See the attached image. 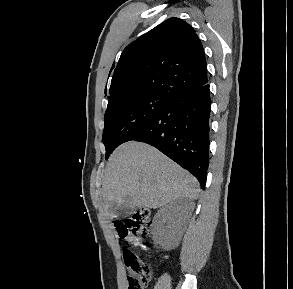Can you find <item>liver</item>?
Masks as SVG:
<instances>
[{
  "label": "liver",
  "instance_id": "obj_1",
  "mask_svg": "<svg viewBox=\"0 0 293 289\" xmlns=\"http://www.w3.org/2000/svg\"><path fill=\"white\" fill-rule=\"evenodd\" d=\"M196 178L156 148L141 142L119 146L106 165L101 194L109 207L127 196L140 208H159L168 202L199 196Z\"/></svg>",
  "mask_w": 293,
  "mask_h": 289
}]
</instances>
